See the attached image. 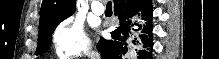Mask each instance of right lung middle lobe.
I'll list each match as a JSON object with an SVG mask.
<instances>
[{"label":"right lung middle lobe","mask_w":219,"mask_h":59,"mask_svg":"<svg viewBox=\"0 0 219 59\" xmlns=\"http://www.w3.org/2000/svg\"><path fill=\"white\" fill-rule=\"evenodd\" d=\"M61 21L62 20H59L51 24H48L44 28H39L38 46L35 52L36 55H40L49 49L52 33Z\"/></svg>","instance_id":"dd1d6c3e"}]
</instances>
